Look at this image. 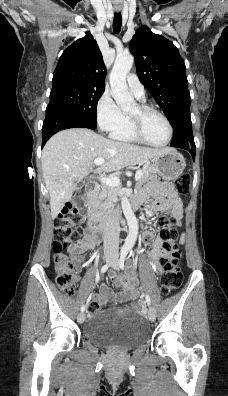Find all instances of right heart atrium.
Returning a JSON list of instances; mask_svg holds the SVG:
<instances>
[{"label": "right heart atrium", "instance_id": "obj_1", "mask_svg": "<svg viewBox=\"0 0 228 396\" xmlns=\"http://www.w3.org/2000/svg\"><path fill=\"white\" fill-rule=\"evenodd\" d=\"M96 120L99 128L104 132H112L126 122V115L108 91H105L97 102Z\"/></svg>", "mask_w": 228, "mask_h": 396}]
</instances>
